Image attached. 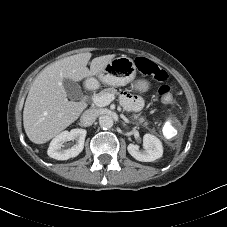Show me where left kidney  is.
<instances>
[{"label": "left kidney", "mask_w": 227, "mask_h": 227, "mask_svg": "<svg viewBox=\"0 0 227 227\" xmlns=\"http://www.w3.org/2000/svg\"><path fill=\"white\" fill-rule=\"evenodd\" d=\"M143 147L144 150L140 151L138 145L129 144L127 149L133 158L142 162H152L163 155V146L161 141L152 134L144 135Z\"/></svg>", "instance_id": "obj_1"}]
</instances>
